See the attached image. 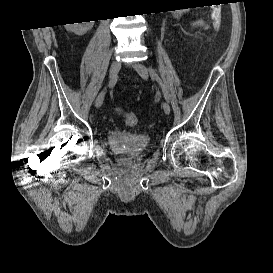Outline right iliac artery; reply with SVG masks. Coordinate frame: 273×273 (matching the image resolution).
<instances>
[{"instance_id": "right-iliac-artery-1", "label": "right iliac artery", "mask_w": 273, "mask_h": 273, "mask_svg": "<svg viewBox=\"0 0 273 273\" xmlns=\"http://www.w3.org/2000/svg\"><path fill=\"white\" fill-rule=\"evenodd\" d=\"M117 77L115 78V80L111 83V85H114L116 83Z\"/></svg>"}]
</instances>
